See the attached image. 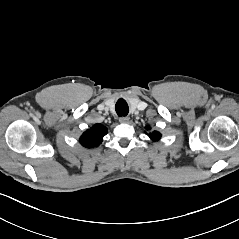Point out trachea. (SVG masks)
Returning a JSON list of instances; mask_svg holds the SVG:
<instances>
[{"mask_svg":"<svg viewBox=\"0 0 239 239\" xmlns=\"http://www.w3.org/2000/svg\"><path fill=\"white\" fill-rule=\"evenodd\" d=\"M115 110L118 116H126L129 112V107L124 99H119L115 105Z\"/></svg>","mask_w":239,"mask_h":239,"instance_id":"trachea-1","label":"trachea"}]
</instances>
